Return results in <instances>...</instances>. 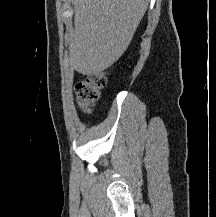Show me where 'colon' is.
<instances>
[{
  "label": "colon",
  "instance_id": "obj_1",
  "mask_svg": "<svg viewBox=\"0 0 216 217\" xmlns=\"http://www.w3.org/2000/svg\"><path fill=\"white\" fill-rule=\"evenodd\" d=\"M107 76L103 73H93L84 81L77 83L75 94L83 113H89L97 102L100 90L105 87Z\"/></svg>",
  "mask_w": 216,
  "mask_h": 217
}]
</instances>
